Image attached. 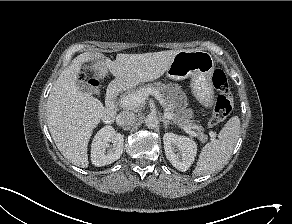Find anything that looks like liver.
I'll return each instance as SVG.
<instances>
[{"label":"liver","mask_w":292,"mask_h":224,"mask_svg":"<svg viewBox=\"0 0 292 224\" xmlns=\"http://www.w3.org/2000/svg\"><path fill=\"white\" fill-rule=\"evenodd\" d=\"M179 52L118 53L115 61L101 51L75 57L55 81L46 104L48 128L63 156L75 166L87 168L92 131L112 112V107H105L99 99L78 87L82 64L91 62L86 68L95 72V79H104L110 72L115 77L113 84L133 87L163 76Z\"/></svg>","instance_id":"6515ba94"}]
</instances>
